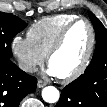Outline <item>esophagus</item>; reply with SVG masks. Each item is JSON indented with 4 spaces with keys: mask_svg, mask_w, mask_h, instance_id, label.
Segmentation results:
<instances>
[{
    "mask_svg": "<svg viewBox=\"0 0 107 107\" xmlns=\"http://www.w3.org/2000/svg\"><path fill=\"white\" fill-rule=\"evenodd\" d=\"M46 85H47V82H45V81L38 80V82H37V86H38L39 88H43V87L46 86Z\"/></svg>",
    "mask_w": 107,
    "mask_h": 107,
    "instance_id": "34e87169",
    "label": "esophagus"
}]
</instances>
